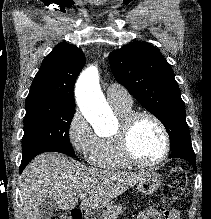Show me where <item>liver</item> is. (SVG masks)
I'll list each match as a JSON object with an SVG mask.
<instances>
[{
  "instance_id": "6515ba94",
  "label": "liver",
  "mask_w": 211,
  "mask_h": 219,
  "mask_svg": "<svg viewBox=\"0 0 211 219\" xmlns=\"http://www.w3.org/2000/svg\"><path fill=\"white\" fill-rule=\"evenodd\" d=\"M149 171L124 172L78 166L59 153H44L24 169L20 184L26 219H41L40 205L52 199L58 209L70 210L78 204L76 195L88 194L80 204L82 210L107 205L130 187L139 183Z\"/></svg>"
}]
</instances>
